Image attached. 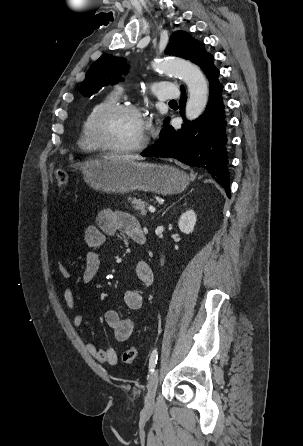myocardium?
Wrapping results in <instances>:
<instances>
[{
  "instance_id": "myocardium-1",
  "label": "myocardium",
  "mask_w": 303,
  "mask_h": 446,
  "mask_svg": "<svg viewBox=\"0 0 303 446\" xmlns=\"http://www.w3.org/2000/svg\"><path fill=\"white\" fill-rule=\"evenodd\" d=\"M130 112L138 115H142L141 109L133 104L124 103H109L100 108L92 118L90 124V135L93 142L102 150L113 153H133L142 150L148 144L149 138L147 135L138 143L130 146H115L109 143L102 134L103 123L107 117L112 114Z\"/></svg>"
}]
</instances>
